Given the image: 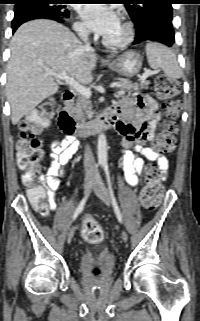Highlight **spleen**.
Masks as SVG:
<instances>
[{
  "label": "spleen",
  "mask_w": 200,
  "mask_h": 321,
  "mask_svg": "<svg viewBox=\"0 0 200 321\" xmlns=\"http://www.w3.org/2000/svg\"><path fill=\"white\" fill-rule=\"evenodd\" d=\"M148 64L152 69H162L164 73L171 79H179L182 77V70L178 65L174 52L160 44L147 43L145 46Z\"/></svg>",
  "instance_id": "1"
}]
</instances>
